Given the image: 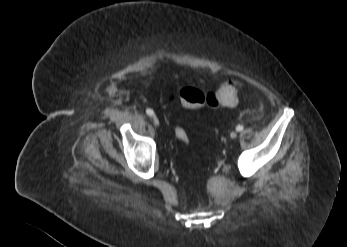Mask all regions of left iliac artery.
<instances>
[{"instance_id": "44dca946", "label": "left iliac artery", "mask_w": 347, "mask_h": 247, "mask_svg": "<svg viewBox=\"0 0 347 247\" xmlns=\"http://www.w3.org/2000/svg\"><path fill=\"white\" fill-rule=\"evenodd\" d=\"M236 130H237L238 132H241V131L243 130V126H242V125H238V126L236 127Z\"/></svg>"}]
</instances>
